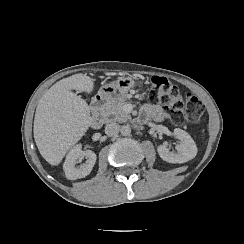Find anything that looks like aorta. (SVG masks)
<instances>
[{"instance_id":"762f6f07","label":"aorta","mask_w":244,"mask_h":244,"mask_svg":"<svg viewBox=\"0 0 244 244\" xmlns=\"http://www.w3.org/2000/svg\"><path fill=\"white\" fill-rule=\"evenodd\" d=\"M120 133L123 136H128L131 133V128L129 125H123L120 129Z\"/></svg>"}]
</instances>
